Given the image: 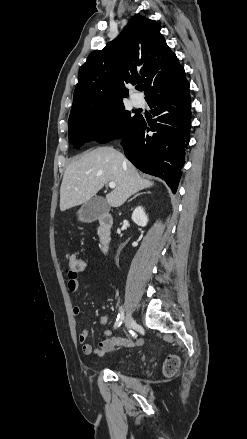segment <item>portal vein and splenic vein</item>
Masks as SVG:
<instances>
[{"mask_svg":"<svg viewBox=\"0 0 247 439\" xmlns=\"http://www.w3.org/2000/svg\"><path fill=\"white\" fill-rule=\"evenodd\" d=\"M109 187H110L111 189H114V188L116 187L115 182H109Z\"/></svg>","mask_w":247,"mask_h":439,"instance_id":"1","label":"portal vein and splenic vein"}]
</instances>
